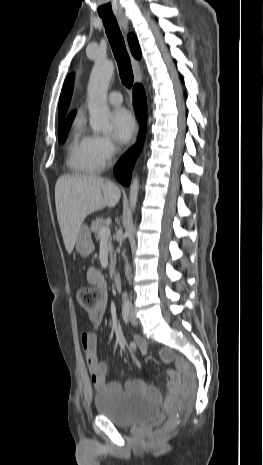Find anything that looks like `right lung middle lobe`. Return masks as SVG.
<instances>
[{
  "instance_id": "1",
  "label": "right lung middle lobe",
  "mask_w": 263,
  "mask_h": 465,
  "mask_svg": "<svg viewBox=\"0 0 263 465\" xmlns=\"http://www.w3.org/2000/svg\"><path fill=\"white\" fill-rule=\"evenodd\" d=\"M73 118H74V116L59 122V129H58V140H59V142H64L65 141V139L67 137L68 130H69L71 124H72Z\"/></svg>"
}]
</instances>
